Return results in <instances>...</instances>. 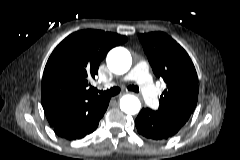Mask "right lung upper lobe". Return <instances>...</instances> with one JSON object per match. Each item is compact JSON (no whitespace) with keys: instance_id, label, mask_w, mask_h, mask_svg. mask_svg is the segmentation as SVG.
I'll return each mask as SVG.
<instances>
[{"instance_id":"cb5924a9","label":"right lung upper lobe","mask_w":240,"mask_h":160,"mask_svg":"<svg viewBox=\"0 0 240 160\" xmlns=\"http://www.w3.org/2000/svg\"><path fill=\"white\" fill-rule=\"evenodd\" d=\"M127 41L125 36L100 30H82L66 37L52 52L44 69L41 99L51 126L105 99L90 81L98 74L107 52Z\"/></svg>"}]
</instances>
